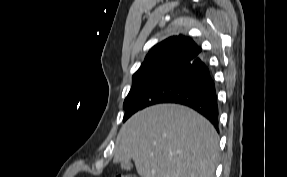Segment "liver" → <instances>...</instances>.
<instances>
[{
	"instance_id": "6515ba94",
	"label": "liver",
	"mask_w": 287,
	"mask_h": 177,
	"mask_svg": "<svg viewBox=\"0 0 287 177\" xmlns=\"http://www.w3.org/2000/svg\"><path fill=\"white\" fill-rule=\"evenodd\" d=\"M218 142L215 128L194 110L158 104L122 125L114 162L132 159L141 177H214Z\"/></svg>"
}]
</instances>
